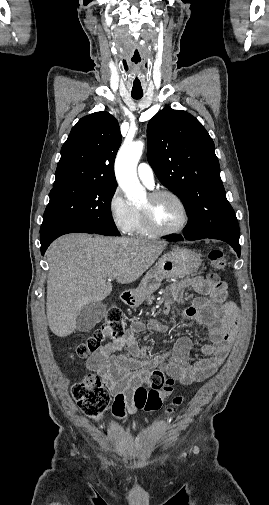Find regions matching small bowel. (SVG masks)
<instances>
[{
	"mask_svg": "<svg viewBox=\"0 0 269 505\" xmlns=\"http://www.w3.org/2000/svg\"><path fill=\"white\" fill-rule=\"evenodd\" d=\"M198 294L181 314L184 322H195L204 328L209 342L199 348L193 346L188 337H180L170 354L148 358L145 347L140 346L136 336L146 329L165 332L166 326L158 321H134L127 332L119 338L99 348L86 363L90 371L96 373L113 396L112 413L124 420L137 409L134 404L135 390L141 386L151 369L164 365L170 356L166 369L171 378L183 385L202 382L212 376L224 362L233 341L239 320L237 305L228 300L225 282L216 274L196 277L186 282ZM182 300V289L174 284L168 289V301ZM127 349L131 357L117 352ZM197 351L204 358L189 363V354Z\"/></svg>",
	"mask_w": 269,
	"mask_h": 505,
	"instance_id": "1",
	"label": "small bowel"
}]
</instances>
